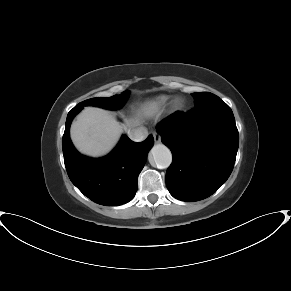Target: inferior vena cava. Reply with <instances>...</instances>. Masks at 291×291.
<instances>
[{"instance_id":"inferior-vena-cava-1","label":"inferior vena cava","mask_w":291,"mask_h":291,"mask_svg":"<svg viewBox=\"0 0 291 291\" xmlns=\"http://www.w3.org/2000/svg\"><path fill=\"white\" fill-rule=\"evenodd\" d=\"M128 136L134 142H141L148 136V131L145 127H139L129 131Z\"/></svg>"}]
</instances>
